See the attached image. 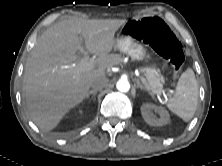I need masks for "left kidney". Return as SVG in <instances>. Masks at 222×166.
Instances as JSON below:
<instances>
[{
  "label": "left kidney",
  "mask_w": 222,
  "mask_h": 166,
  "mask_svg": "<svg viewBox=\"0 0 222 166\" xmlns=\"http://www.w3.org/2000/svg\"><path fill=\"white\" fill-rule=\"evenodd\" d=\"M153 111L159 115L156 117ZM141 113L144 120L151 126H164L170 122V116L164 107L156 106L151 103H144L141 106Z\"/></svg>",
  "instance_id": "1"
}]
</instances>
